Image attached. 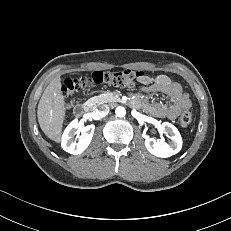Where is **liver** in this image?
<instances>
[{
    "mask_svg": "<svg viewBox=\"0 0 231 231\" xmlns=\"http://www.w3.org/2000/svg\"><path fill=\"white\" fill-rule=\"evenodd\" d=\"M66 115L65 97L61 91V78L55 77L44 90L38 103L37 118L44 134L60 142Z\"/></svg>",
    "mask_w": 231,
    "mask_h": 231,
    "instance_id": "1",
    "label": "liver"
}]
</instances>
